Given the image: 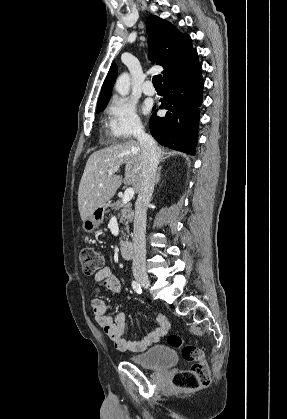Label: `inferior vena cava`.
<instances>
[{"instance_id":"1","label":"inferior vena cava","mask_w":287,"mask_h":419,"mask_svg":"<svg viewBox=\"0 0 287 419\" xmlns=\"http://www.w3.org/2000/svg\"><path fill=\"white\" fill-rule=\"evenodd\" d=\"M142 149V181L135 203L134 235H133V275L147 277L146 258V219L147 207L154 190L159 156L154 139L139 126L135 134Z\"/></svg>"}]
</instances>
